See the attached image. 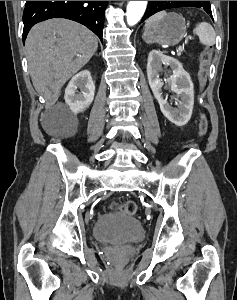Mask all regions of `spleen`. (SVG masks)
<instances>
[{
  "instance_id": "obj_1",
  "label": "spleen",
  "mask_w": 237,
  "mask_h": 300,
  "mask_svg": "<svg viewBox=\"0 0 237 300\" xmlns=\"http://www.w3.org/2000/svg\"><path fill=\"white\" fill-rule=\"evenodd\" d=\"M166 11H160V13H156L153 17H150L148 21H146V29L147 27H151L154 23H158V21H162L164 17H166ZM193 33L198 35L200 43L202 45H206V47H212L215 43L216 33L212 27V25H208V23H199L196 25L195 29H193Z\"/></svg>"
}]
</instances>
